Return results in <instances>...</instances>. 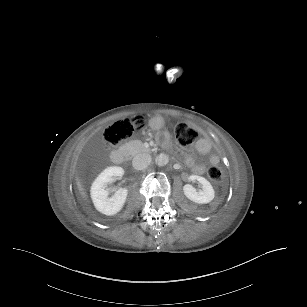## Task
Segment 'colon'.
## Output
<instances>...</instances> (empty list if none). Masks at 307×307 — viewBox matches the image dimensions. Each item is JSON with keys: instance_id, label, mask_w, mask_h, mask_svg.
I'll return each mask as SVG.
<instances>
[{"instance_id": "colon-1", "label": "colon", "mask_w": 307, "mask_h": 307, "mask_svg": "<svg viewBox=\"0 0 307 307\" xmlns=\"http://www.w3.org/2000/svg\"><path fill=\"white\" fill-rule=\"evenodd\" d=\"M143 126V120L138 117L118 120L106 129L103 135L104 145L106 147L117 146L132 137ZM173 131L176 140L182 147L191 146L196 139V132L183 121L177 122ZM208 177L213 182L219 183L224 178V171L217 165L211 166L208 170Z\"/></svg>"}]
</instances>
